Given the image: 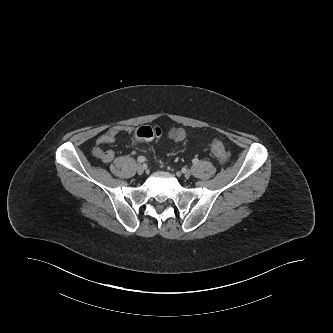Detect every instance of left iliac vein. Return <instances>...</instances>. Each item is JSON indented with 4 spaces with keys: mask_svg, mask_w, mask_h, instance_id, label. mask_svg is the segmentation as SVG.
I'll use <instances>...</instances> for the list:
<instances>
[{
    "mask_svg": "<svg viewBox=\"0 0 333 333\" xmlns=\"http://www.w3.org/2000/svg\"><path fill=\"white\" fill-rule=\"evenodd\" d=\"M191 174H192V172H191L190 169H185L183 171V175H184L185 178H189L191 176Z\"/></svg>",
    "mask_w": 333,
    "mask_h": 333,
    "instance_id": "1",
    "label": "left iliac vein"
}]
</instances>
